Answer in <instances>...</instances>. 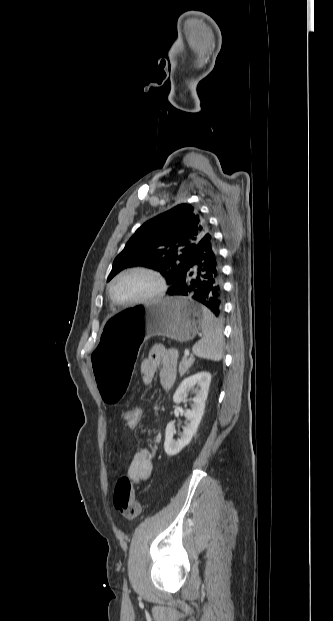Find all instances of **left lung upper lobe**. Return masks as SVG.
Wrapping results in <instances>:
<instances>
[{
	"mask_svg": "<svg viewBox=\"0 0 333 621\" xmlns=\"http://www.w3.org/2000/svg\"><path fill=\"white\" fill-rule=\"evenodd\" d=\"M208 232L207 220L192 205H177L137 229L115 258L108 281L124 268L143 266L160 272L171 287Z\"/></svg>",
	"mask_w": 333,
	"mask_h": 621,
	"instance_id": "obj_1",
	"label": "left lung upper lobe"
}]
</instances>
